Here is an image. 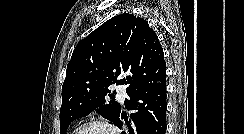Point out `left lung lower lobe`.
Listing matches in <instances>:
<instances>
[{
	"mask_svg": "<svg viewBox=\"0 0 244 134\" xmlns=\"http://www.w3.org/2000/svg\"><path fill=\"white\" fill-rule=\"evenodd\" d=\"M125 107L127 110H137L130 119L119 115L115 125L122 126L125 120L129 134H165L166 132V84L133 92L128 95ZM124 134V132H123Z\"/></svg>",
	"mask_w": 244,
	"mask_h": 134,
	"instance_id": "obj_1",
	"label": "left lung lower lobe"
}]
</instances>
